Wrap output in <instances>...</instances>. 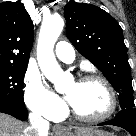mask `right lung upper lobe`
Masks as SVG:
<instances>
[{"mask_svg":"<svg viewBox=\"0 0 136 136\" xmlns=\"http://www.w3.org/2000/svg\"><path fill=\"white\" fill-rule=\"evenodd\" d=\"M33 23L20 2L0 3V65H28Z\"/></svg>","mask_w":136,"mask_h":136,"instance_id":"1","label":"right lung upper lobe"}]
</instances>
